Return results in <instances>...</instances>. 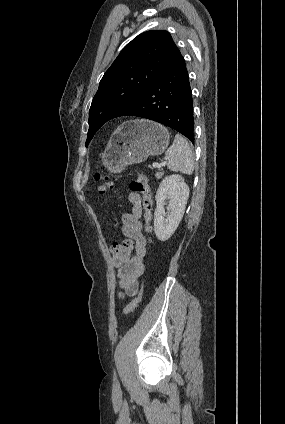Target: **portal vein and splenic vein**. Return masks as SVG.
<instances>
[{"label":"portal vein and splenic vein","mask_w":285,"mask_h":424,"mask_svg":"<svg viewBox=\"0 0 285 424\" xmlns=\"http://www.w3.org/2000/svg\"><path fill=\"white\" fill-rule=\"evenodd\" d=\"M163 165H165V163H161V164H159V163H153L152 164V166L155 167V168H161Z\"/></svg>","instance_id":"1"}]
</instances>
